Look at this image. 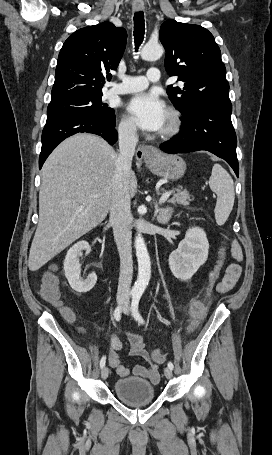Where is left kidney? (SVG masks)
Here are the masks:
<instances>
[{
    "label": "left kidney",
    "mask_w": 272,
    "mask_h": 455,
    "mask_svg": "<svg viewBox=\"0 0 272 455\" xmlns=\"http://www.w3.org/2000/svg\"><path fill=\"white\" fill-rule=\"evenodd\" d=\"M208 251L209 243L204 230L199 227L188 229L178 248L169 256L172 274L182 281L191 279L206 262Z\"/></svg>",
    "instance_id": "left-kidney-1"
}]
</instances>
